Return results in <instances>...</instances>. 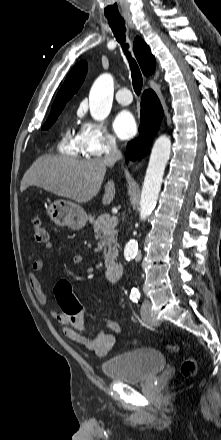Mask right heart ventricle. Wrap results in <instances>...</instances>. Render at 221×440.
I'll list each match as a JSON object with an SVG mask.
<instances>
[{
    "label": "right heart ventricle",
    "mask_w": 221,
    "mask_h": 440,
    "mask_svg": "<svg viewBox=\"0 0 221 440\" xmlns=\"http://www.w3.org/2000/svg\"><path fill=\"white\" fill-rule=\"evenodd\" d=\"M58 150L64 155L75 158L80 157L81 154L86 155L80 132H76L70 125H66L62 131Z\"/></svg>",
    "instance_id": "e07e8e85"
}]
</instances>
